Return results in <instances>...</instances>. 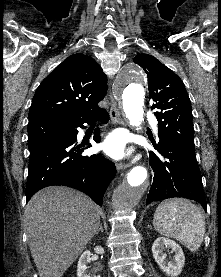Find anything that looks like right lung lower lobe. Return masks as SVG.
<instances>
[{
    "label": "right lung lower lobe",
    "instance_id": "98d812e1",
    "mask_svg": "<svg viewBox=\"0 0 221 277\" xmlns=\"http://www.w3.org/2000/svg\"><path fill=\"white\" fill-rule=\"evenodd\" d=\"M96 119L105 123L109 115L101 109L87 117L57 121L60 132L30 150L26 201L44 187L62 185L84 192L102 206L103 195L116 175V167L100 154L83 156L84 145L77 143V128H85L84 123L90 124ZM93 139L100 142L99 130L95 131Z\"/></svg>",
    "mask_w": 221,
    "mask_h": 277
}]
</instances>
